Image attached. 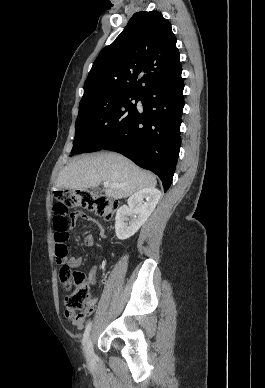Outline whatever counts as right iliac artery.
I'll return each mask as SVG.
<instances>
[{"label":"right iliac artery","instance_id":"obj_1","mask_svg":"<svg viewBox=\"0 0 265 388\" xmlns=\"http://www.w3.org/2000/svg\"><path fill=\"white\" fill-rule=\"evenodd\" d=\"M90 330H91V322L89 324H87V326L85 328V331H84V334H83V339H82L83 345H85V343H86V340H87V338L89 336Z\"/></svg>","mask_w":265,"mask_h":388}]
</instances>
